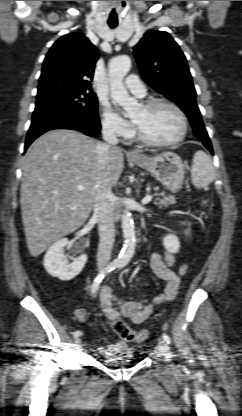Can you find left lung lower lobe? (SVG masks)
Here are the masks:
<instances>
[{"label": "left lung lower lobe", "mask_w": 242, "mask_h": 416, "mask_svg": "<svg viewBox=\"0 0 242 416\" xmlns=\"http://www.w3.org/2000/svg\"><path fill=\"white\" fill-rule=\"evenodd\" d=\"M203 144L210 151V153L213 154V149L210 140L204 141Z\"/></svg>", "instance_id": "obj_1"}]
</instances>
